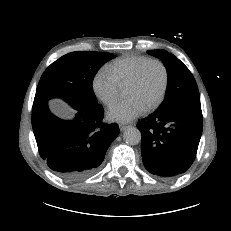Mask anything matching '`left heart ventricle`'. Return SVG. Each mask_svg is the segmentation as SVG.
Segmentation results:
<instances>
[{
  "instance_id": "obj_1",
  "label": "left heart ventricle",
  "mask_w": 231,
  "mask_h": 231,
  "mask_svg": "<svg viewBox=\"0 0 231 231\" xmlns=\"http://www.w3.org/2000/svg\"><path fill=\"white\" fill-rule=\"evenodd\" d=\"M163 78L160 65L156 63L150 64L140 82L126 89L125 96L127 98H136L147 108L157 99L163 85Z\"/></svg>"
}]
</instances>
